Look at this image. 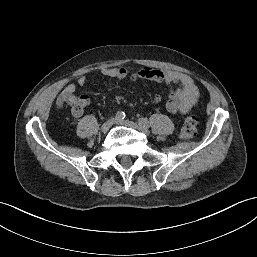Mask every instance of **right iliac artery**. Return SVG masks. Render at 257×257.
I'll return each mask as SVG.
<instances>
[{"instance_id":"right-iliac-artery-1","label":"right iliac artery","mask_w":257,"mask_h":257,"mask_svg":"<svg viewBox=\"0 0 257 257\" xmlns=\"http://www.w3.org/2000/svg\"><path fill=\"white\" fill-rule=\"evenodd\" d=\"M124 118H125V113L124 112H122V111L117 112V114H116V119L117 120H122Z\"/></svg>"}]
</instances>
